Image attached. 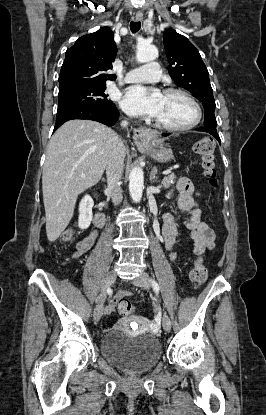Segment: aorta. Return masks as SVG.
Wrapping results in <instances>:
<instances>
[{
    "label": "aorta",
    "instance_id": "1",
    "mask_svg": "<svg viewBox=\"0 0 266 415\" xmlns=\"http://www.w3.org/2000/svg\"><path fill=\"white\" fill-rule=\"evenodd\" d=\"M158 51L155 46L147 43L139 44L136 58L140 63L152 61L157 58ZM144 188V173L142 168L134 167L129 174V191L134 202H140Z\"/></svg>",
    "mask_w": 266,
    "mask_h": 415
}]
</instances>
